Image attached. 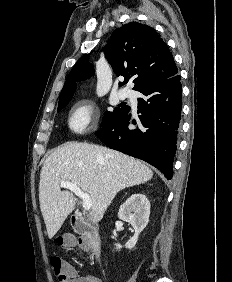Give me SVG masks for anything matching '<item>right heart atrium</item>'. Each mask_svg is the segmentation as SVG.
Here are the masks:
<instances>
[{
  "label": "right heart atrium",
  "mask_w": 232,
  "mask_h": 282,
  "mask_svg": "<svg viewBox=\"0 0 232 282\" xmlns=\"http://www.w3.org/2000/svg\"><path fill=\"white\" fill-rule=\"evenodd\" d=\"M95 114V108L90 102L79 101L68 117L69 129L75 134L86 133L94 121Z\"/></svg>",
  "instance_id": "d8ad5b80"
}]
</instances>
